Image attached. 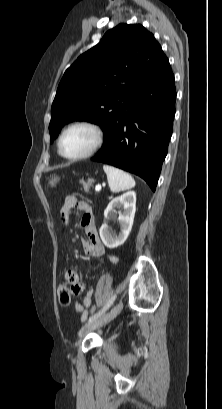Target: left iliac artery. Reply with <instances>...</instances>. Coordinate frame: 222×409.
I'll use <instances>...</instances> for the list:
<instances>
[{"label": "left iliac artery", "mask_w": 222, "mask_h": 409, "mask_svg": "<svg viewBox=\"0 0 222 409\" xmlns=\"http://www.w3.org/2000/svg\"><path fill=\"white\" fill-rule=\"evenodd\" d=\"M115 299H116V295L112 296L109 299V301L106 303V305L100 311H98L97 313H95L94 315H92L89 318L88 322H92V321L98 319L99 317H101L111 307V305L113 304Z\"/></svg>", "instance_id": "left-iliac-artery-1"}]
</instances>
